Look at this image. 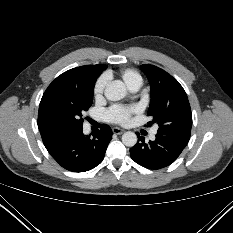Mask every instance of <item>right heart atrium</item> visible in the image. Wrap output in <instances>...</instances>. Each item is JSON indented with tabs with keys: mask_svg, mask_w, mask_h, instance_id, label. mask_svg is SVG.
<instances>
[{
	"mask_svg": "<svg viewBox=\"0 0 233 233\" xmlns=\"http://www.w3.org/2000/svg\"><path fill=\"white\" fill-rule=\"evenodd\" d=\"M107 85V76L99 77L93 87V96L95 100H100L103 97L105 87Z\"/></svg>",
	"mask_w": 233,
	"mask_h": 233,
	"instance_id": "1",
	"label": "right heart atrium"
}]
</instances>
